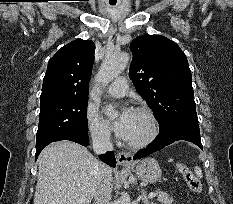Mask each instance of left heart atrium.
<instances>
[{
	"mask_svg": "<svg viewBox=\"0 0 233 204\" xmlns=\"http://www.w3.org/2000/svg\"><path fill=\"white\" fill-rule=\"evenodd\" d=\"M131 114V110H129L128 108H122L119 112L118 117L112 122V128L122 139H126L127 137Z\"/></svg>",
	"mask_w": 233,
	"mask_h": 204,
	"instance_id": "39dd6f15",
	"label": "left heart atrium"
}]
</instances>
